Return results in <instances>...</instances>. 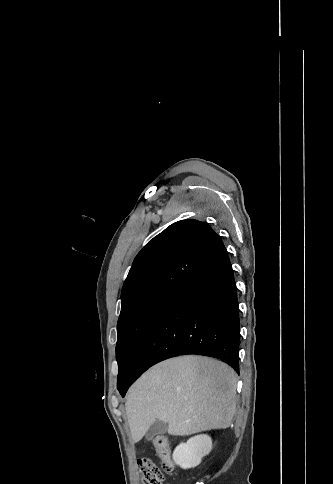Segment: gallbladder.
I'll return each mask as SVG.
<instances>
[{
	"label": "gallbladder",
	"instance_id": "gallbladder-1",
	"mask_svg": "<svg viewBox=\"0 0 333 484\" xmlns=\"http://www.w3.org/2000/svg\"><path fill=\"white\" fill-rule=\"evenodd\" d=\"M167 430H168L167 423L160 420H156L146 432V438L148 440H152L155 436L166 433Z\"/></svg>",
	"mask_w": 333,
	"mask_h": 484
}]
</instances>
